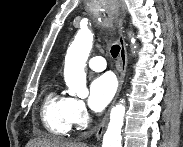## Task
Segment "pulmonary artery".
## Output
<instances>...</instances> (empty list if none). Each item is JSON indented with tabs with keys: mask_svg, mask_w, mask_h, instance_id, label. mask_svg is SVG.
I'll list each match as a JSON object with an SVG mask.
<instances>
[{
	"mask_svg": "<svg viewBox=\"0 0 183 147\" xmlns=\"http://www.w3.org/2000/svg\"><path fill=\"white\" fill-rule=\"evenodd\" d=\"M88 66L90 69L100 72L106 68V61L101 56H95L89 59Z\"/></svg>",
	"mask_w": 183,
	"mask_h": 147,
	"instance_id": "e3ab8cb5",
	"label": "pulmonary artery"
}]
</instances>
